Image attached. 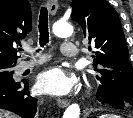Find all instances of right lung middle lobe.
I'll return each instance as SVG.
<instances>
[{
  "label": "right lung middle lobe",
  "mask_w": 133,
  "mask_h": 118,
  "mask_svg": "<svg viewBox=\"0 0 133 118\" xmlns=\"http://www.w3.org/2000/svg\"><path fill=\"white\" fill-rule=\"evenodd\" d=\"M14 65L11 64H1L0 65V84L13 83V71Z\"/></svg>",
  "instance_id": "dd1d6c3e"
}]
</instances>
